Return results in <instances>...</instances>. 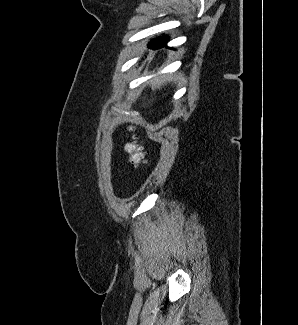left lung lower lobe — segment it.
I'll return each instance as SVG.
<instances>
[{"instance_id": "1", "label": "left lung lower lobe", "mask_w": 298, "mask_h": 325, "mask_svg": "<svg viewBox=\"0 0 298 325\" xmlns=\"http://www.w3.org/2000/svg\"><path fill=\"white\" fill-rule=\"evenodd\" d=\"M167 41H168V37H159V38H157V39H153L151 42H150V46L152 47V48H155V49H157V48H160V47H162V46H165L166 45V43H167Z\"/></svg>"}]
</instances>
